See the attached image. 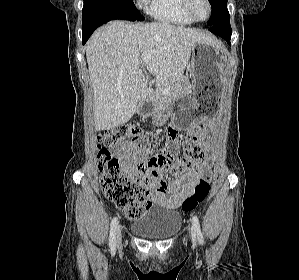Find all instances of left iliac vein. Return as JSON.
Segmentation results:
<instances>
[{"label":"left iliac vein","mask_w":299,"mask_h":280,"mask_svg":"<svg viewBox=\"0 0 299 280\" xmlns=\"http://www.w3.org/2000/svg\"><path fill=\"white\" fill-rule=\"evenodd\" d=\"M191 238L193 241H195L196 239V235H195V232L194 231H191Z\"/></svg>","instance_id":"4c4485c4"}]
</instances>
